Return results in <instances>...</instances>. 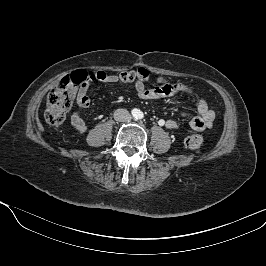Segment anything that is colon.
Returning <instances> with one entry per match:
<instances>
[{
	"label": "colon",
	"mask_w": 266,
	"mask_h": 266,
	"mask_svg": "<svg viewBox=\"0 0 266 266\" xmlns=\"http://www.w3.org/2000/svg\"><path fill=\"white\" fill-rule=\"evenodd\" d=\"M150 76L148 70L141 68L138 71L121 73L120 80L124 83H133L135 81L144 82ZM90 80V73L84 70H78L65 76L48 94L44 113L46 122L54 126L61 125L65 121L66 114L73 104L77 89L86 85ZM185 145L190 150L198 152L202 148L203 137L200 134L189 135L185 139Z\"/></svg>",
	"instance_id": "1"
}]
</instances>
